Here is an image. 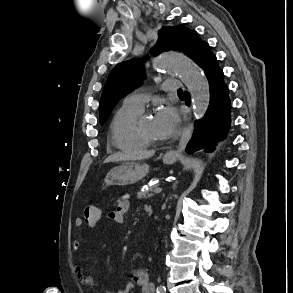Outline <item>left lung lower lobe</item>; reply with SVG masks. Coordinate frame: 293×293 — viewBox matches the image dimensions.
Wrapping results in <instances>:
<instances>
[{
	"instance_id": "0a47b994",
	"label": "left lung lower lobe",
	"mask_w": 293,
	"mask_h": 293,
	"mask_svg": "<svg viewBox=\"0 0 293 293\" xmlns=\"http://www.w3.org/2000/svg\"><path fill=\"white\" fill-rule=\"evenodd\" d=\"M195 62L204 70L208 79L210 104L204 117L195 122L194 133L186 151L193 153L204 149L205 152H212L216 143L227 135L231 122V102L228 87L223 80V71L218 67L217 59L211 53L208 43L203 45ZM186 102L190 104L188 93Z\"/></svg>"
}]
</instances>
